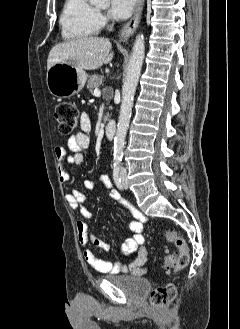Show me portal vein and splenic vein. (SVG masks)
Masks as SVG:
<instances>
[{
  "label": "portal vein and splenic vein",
  "mask_w": 240,
  "mask_h": 329,
  "mask_svg": "<svg viewBox=\"0 0 240 329\" xmlns=\"http://www.w3.org/2000/svg\"><path fill=\"white\" fill-rule=\"evenodd\" d=\"M94 95H95V96H100V95H101V92H100V90H99L98 88H96V89L94 90Z\"/></svg>",
  "instance_id": "portal-vein-and-splenic-vein-1"
}]
</instances>
